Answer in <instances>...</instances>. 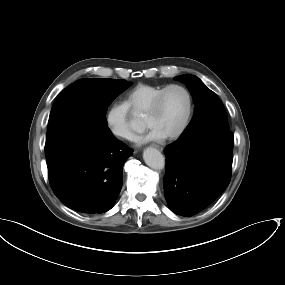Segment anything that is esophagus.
Here are the masks:
<instances>
[{
  "instance_id": "1",
  "label": "esophagus",
  "mask_w": 285,
  "mask_h": 285,
  "mask_svg": "<svg viewBox=\"0 0 285 285\" xmlns=\"http://www.w3.org/2000/svg\"><path fill=\"white\" fill-rule=\"evenodd\" d=\"M153 146H154L155 148H157L158 150H160V151L163 150V148H162L161 146L157 145V144H153Z\"/></svg>"
}]
</instances>
